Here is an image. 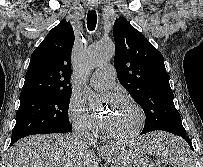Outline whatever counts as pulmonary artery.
<instances>
[{
    "label": "pulmonary artery",
    "mask_w": 203,
    "mask_h": 167,
    "mask_svg": "<svg viewBox=\"0 0 203 167\" xmlns=\"http://www.w3.org/2000/svg\"><path fill=\"white\" fill-rule=\"evenodd\" d=\"M115 68L112 65L100 67L92 76L91 84L99 90H106L111 87L115 81Z\"/></svg>",
    "instance_id": "e3ab8cb5"
}]
</instances>
